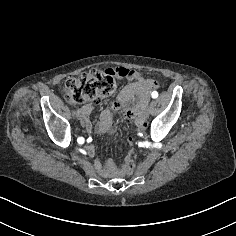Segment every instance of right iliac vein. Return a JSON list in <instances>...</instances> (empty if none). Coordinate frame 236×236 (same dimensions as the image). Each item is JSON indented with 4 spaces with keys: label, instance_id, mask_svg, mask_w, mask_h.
<instances>
[{
    "label": "right iliac vein",
    "instance_id": "63e3f726",
    "mask_svg": "<svg viewBox=\"0 0 236 236\" xmlns=\"http://www.w3.org/2000/svg\"><path fill=\"white\" fill-rule=\"evenodd\" d=\"M80 118L82 119L83 116L81 115ZM86 125H87V122L82 119V120L80 121V126H86Z\"/></svg>",
    "mask_w": 236,
    "mask_h": 236
}]
</instances>
